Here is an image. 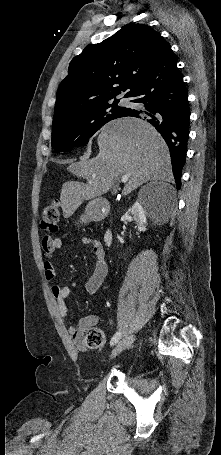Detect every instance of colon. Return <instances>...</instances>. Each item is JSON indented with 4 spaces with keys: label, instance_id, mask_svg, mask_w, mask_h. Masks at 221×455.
<instances>
[{
    "label": "colon",
    "instance_id": "5ec220e1",
    "mask_svg": "<svg viewBox=\"0 0 221 455\" xmlns=\"http://www.w3.org/2000/svg\"><path fill=\"white\" fill-rule=\"evenodd\" d=\"M60 218V203L58 200L47 204L41 217V227L48 232H55L58 228ZM86 343L91 348H101L105 343L103 332L97 328H91L86 335Z\"/></svg>",
    "mask_w": 221,
    "mask_h": 455
}]
</instances>
